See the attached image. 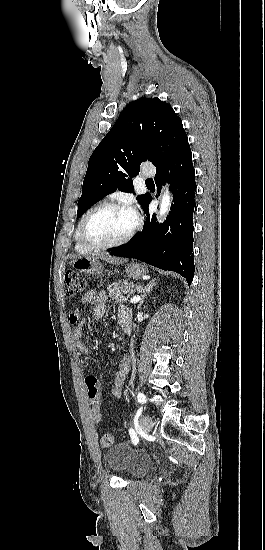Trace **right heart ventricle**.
I'll use <instances>...</instances> for the list:
<instances>
[{
  "mask_svg": "<svg viewBox=\"0 0 265 550\" xmlns=\"http://www.w3.org/2000/svg\"><path fill=\"white\" fill-rule=\"evenodd\" d=\"M78 226H79V224H78ZM78 226H77V228L75 230V233H74L75 249L78 253L85 254V253H88L90 251V249L83 246V244L80 242L79 236H78Z\"/></svg>",
  "mask_w": 265,
  "mask_h": 550,
  "instance_id": "obj_1",
  "label": "right heart ventricle"
}]
</instances>
